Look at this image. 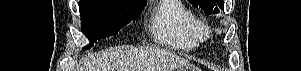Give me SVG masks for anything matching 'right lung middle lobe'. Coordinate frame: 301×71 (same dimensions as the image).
<instances>
[{
  "mask_svg": "<svg viewBox=\"0 0 301 71\" xmlns=\"http://www.w3.org/2000/svg\"><path fill=\"white\" fill-rule=\"evenodd\" d=\"M145 4L146 0H81V30L90 41L86 48L97 40L116 35L140 16Z\"/></svg>",
  "mask_w": 301,
  "mask_h": 71,
  "instance_id": "dd1d6c3e",
  "label": "right lung middle lobe"
}]
</instances>
